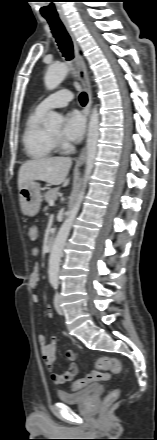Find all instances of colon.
Segmentation results:
<instances>
[{
    "label": "colon",
    "instance_id": "1",
    "mask_svg": "<svg viewBox=\"0 0 157 440\" xmlns=\"http://www.w3.org/2000/svg\"><path fill=\"white\" fill-rule=\"evenodd\" d=\"M28 237L31 241H37L39 237V229L35 225L28 228ZM122 371V363L120 360L112 357H102L96 362V370L85 375L84 377L72 382V390H80L88 384L95 381H102L108 378V373L113 372L119 374ZM119 389H113L104 399V404L108 405L114 402L119 396Z\"/></svg>",
    "mask_w": 157,
    "mask_h": 440
}]
</instances>
